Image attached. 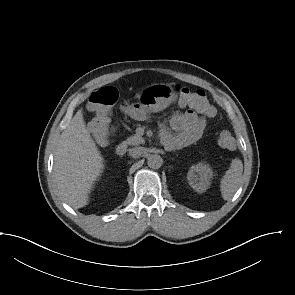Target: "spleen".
I'll return each mask as SVG.
<instances>
[{
	"label": "spleen",
	"instance_id": "obj_1",
	"mask_svg": "<svg viewBox=\"0 0 295 295\" xmlns=\"http://www.w3.org/2000/svg\"><path fill=\"white\" fill-rule=\"evenodd\" d=\"M243 172L242 161L238 158L232 160L230 168L221 179L220 190L224 200H230L239 187Z\"/></svg>",
	"mask_w": 295,
	"mask_h": 295
}]
</instances>
